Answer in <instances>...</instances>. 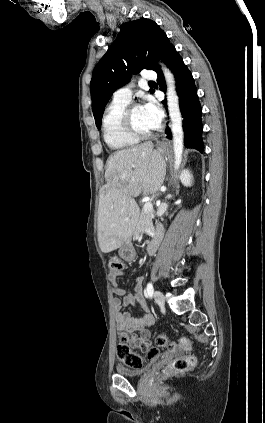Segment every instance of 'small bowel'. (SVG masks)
Listing matches in <instances>:
<instances>
[{"mask_svg":"<svg viewBox=\"0 0 265 423\" xmlns=\"http://www.w3.org/2000/svg\"><path fill=\"white\" fill-rule=\"evenodd\" d=\"M123 274L112 271L110 273L111 292L116 295L111 301L117 330L129 337L130 345L134 349L147 351L150 347L151 331L155 320L150 312L143 294V280L138 279L131 293H127L118 283L117 278ZM138 303L143 314L136 318L122 309Z\"/></svg>","mask_w":265,"mask_h":423,"instance_id":"obj_1","label":"small bowel"}]
</instances>
